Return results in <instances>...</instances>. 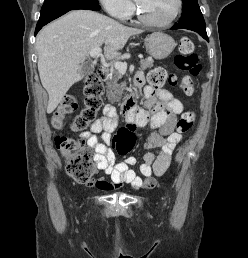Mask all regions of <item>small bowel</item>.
Instances as JSON below:
<instances>
[{
  "label": "small bowel",
  "mask_w": 248,
  "mask_h": 258,
  "mask_svg": "<svg viewBox=\"0 0 248 258\" xmlns=\"http://www.w3.org/2000/svg\"><path fill=\"white\" fill-rule=\"evenodd\" d=\"M137 76L140 77L137 86L140 88L144 84V78L141 74ZM144 96L148 111L137 107L131 117L126 119V128L133 135L137 128H149L150 134L144 148L158 149L157 152H146L143 156L139 171L145 177L142 179L132 168L136 164V159L132 156L115 163V156L109 147V142L111 134L118 125V117L115 109L107 104L104 107L103 116L92 122L89 131L81 134L95 152L96 169L104 171L110 177V181L104 179L91 181L92 187L111 191L128 184L135 191L155 190L158 181L151 176H162L168 169L172 153L182 140V135L175 130V126L177 116L183 111V105L171 92L162 87L146 85ZM99 133L102 141H99L96 136Z\"/></svg>",
  "instance_id": "1"
}]
</instances>
